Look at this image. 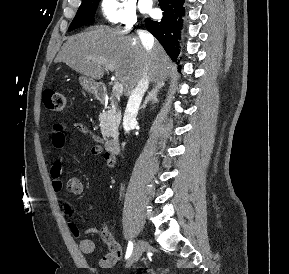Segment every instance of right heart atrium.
Instances as JSON below:
<instances>
[{
    "label": "right heart atrium",
    "instance_id": "obj_1",
    "mask_svg": "<svg viewBox=\"0 0 289 274\" xmlns=\"http://www.w3.org/2000/svg\"><path fill=\"white\" fill-rule=\"evenodd\" d=\"M100 13L106 25L125 30L133 29L138 22L133 0H101Z\"/></svg>",
    "mask_w": 289,
    "mask_h": 274
}]
</instances>
